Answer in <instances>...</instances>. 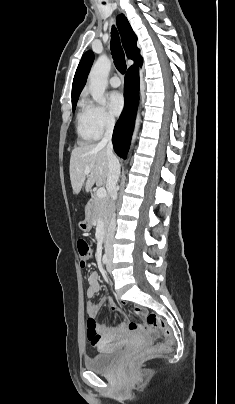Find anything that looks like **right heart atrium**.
Masks as SVG:
<instances>
[{
  "instance_id": "right-heart-atrium-1",
  "label": "right heart atrium",
  "mask_w": 235,
  "mask_h": 404,
  "mask_svg": "<svg viewBox=\"0 0 235 404\" xmlns=\"http://www.w3.org/2000/svg\"><path fill=\"white\" fill-rule=\"evenodd\" d=\"M86 105L91 115L93 127L98 134L101 135L114 126L115 119L105 107L92 102H88Z\"/></svg>"
}]
</instances>
